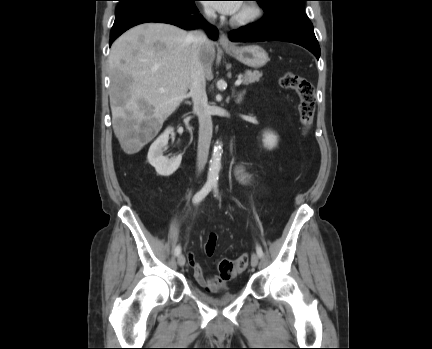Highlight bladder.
Wrapping results in <instances>:
<instances>
[{"instance_id":"1","label":"bladder","mask_w":432,"mask_h":349,"mask_svg":"<svg viewBox=\"0 0 432 349\" xmlns=\"http://www.w3.org/2000/svg\"><path fill=\"white\" fill-rule=\"evenodd\" d=\"M194 293L203 302L215 306L223 305L226 302L233 300L235 298V295L228 291H224L217 295H214L202 289H196Z\"/></svg>"}]
</instances>
